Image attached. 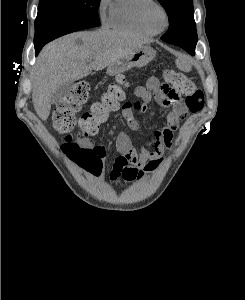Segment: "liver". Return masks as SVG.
I'll return each mask as SVG.
<instances>
[{
  "instance_id": "1",
  "label": "liver",
  "mask_w": 245,
  "mask_h": 300,
  "mask_svg": "<svg viewBox=\"0 0 245 300\" xmlns=\"http://www.w3.org/2000/svg\"><path fill=\"white\" fill-rule=\"evenodd\" d=\"M145 43L138 36L102 28L72 33L47 44L37 58L32 82L37 115L47 120L58 87L108 67Z\"/></svg>"
}]
</instances>
